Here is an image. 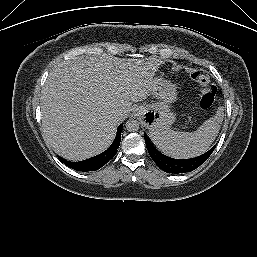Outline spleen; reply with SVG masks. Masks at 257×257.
I'll return each instance as SVG.
<instances>
[{
  "label": "spleen",
  "mask_w": 257,
  "mask_h": 257,
  "mask_svg": "<svg viewBox=\"0 0 257 257\" xmlns=\"http://www.w3.org/2000/svg\"><path fill=\"white\" fill-rule=\"evenodd\" d=\"M224 109L218 107L214 117L206 120L194 132L159 129L150 133L153 144L164 154L174 158H192L206 152L217 137Z\"/></svg>",
  "instance_id": "1"
}]
</instances>
